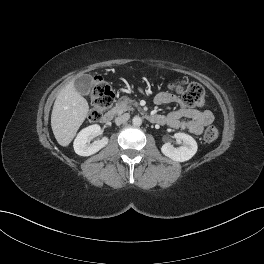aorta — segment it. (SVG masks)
Instances as JSON below:
<instances>
[{"mask_svg": "<svg viewBox=\"0 0 264 264\" xmlns=\"http://www.w3.org/2000/svg\"><path fill=\"white\" fill-rule=\"evenodd\" d=\"M132 123L134 126H140L142 124V119L139 116L133 117Z\"/></svg>", "mask_w": 264, "mask_h": 264, "instance_id": "obj_1", "label": "aorta"}]
</instances>
